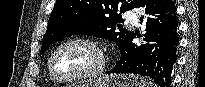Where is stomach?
<instances>
[{"instance_id":"obj_1","label":"stomach","mask_w":205,"mask_h":87,"mask_svg":"<svg viewBox=\"0 0 205 87\" xmlns=\"http://www.w3.org/2000/svg\"><path fill=\"white\" fill-rule=\"evenodd\" d=\"M74 87H148V83L136 75L112 74L85 81Z\"/></svg>"}]
</instances>
